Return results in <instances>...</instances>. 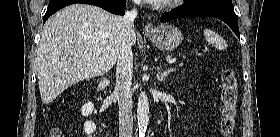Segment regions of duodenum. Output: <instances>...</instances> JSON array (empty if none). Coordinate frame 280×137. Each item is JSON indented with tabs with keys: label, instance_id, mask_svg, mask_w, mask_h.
<instances>
[{
	"label": "duodenum",
	"instance_id": "duodenum-1",
	"mask_svg": "<svg viewBox=\"0 0 280 137\" xmlns=\"http://www.w3.org/2000/svg\"><path fill=\"white\" fill-rule=\"evenodd\" d=\"M110 85V81L109 80H103L102 82H100V84H98V86L96 87V92L100 93L103 90H105L108 86Z\"/></svg>",
	"mask_w": 280,
	"mask_h": 137
}]
</instances>
